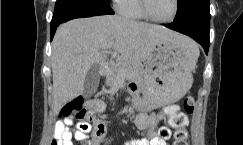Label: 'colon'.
Instances as JSON below:
<instances>
[{
    "instance_id": "colon-1",
    "label": "colon",
    "mask_w": 243,
    "mask_h": 145,
    "mask_svg": "<svg viewBox=\"0 0 243 145\" xmlns=\"http://www.w3.org/2000/svg\"><path fill=\"white\" fill-rule=\"evenodd\" d=\"M184 110L190 114L194 110L193 100L188 98L184 101ZM164 113L168 117V124L174 130V140L172 145H189V133L187 130L188 119L185 113L180 112L174 104L164 107ZM91 111L85 108V102L82 98H76L66 104L60 111L59 116L62 119H76L77 125L86 126L87 121L91 120ZM59 141L53 140L52 145H59Z\"/></svg>"
}]
</instances>
